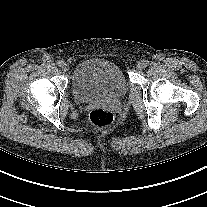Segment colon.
<instances>
[{
    "label": "colon",
    "instance_id": "1",
    "mask_svg": "<svg viewBox=\"0 0 207 207\" xmlns=\"http://www.w3.org/2000/svg\"><path fill=\"white\" fill-rule=\"evenodd\" d=\"M114 120V113L107 108H96L92 110L84 119V122L90 123L96 127H107Z\"/></svg>",
    "mask_w": 207,
    "mask_h": 207
}]
</instances>
